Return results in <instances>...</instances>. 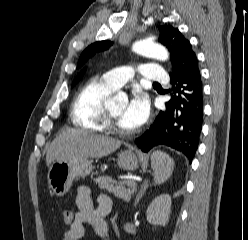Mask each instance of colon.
<instances>
[{
    "mask_svg": "<svg viewBox=\"0 0 248 240\" xmlns=\"http://www.w3.org/2000/svg\"><path fill=\"white\" fill-rule=\"evenodd\" d=\"M74 215H75V213H74V211L72 209H69V208L64 209L62 211V220H63V223L66 226H68L72 222V220L74 218Z\"/></svg>",
    "mask_w": 248,
    "mask_h": 240,
    "instance_id": "1",
    "label": "colon"
}]
</instances>
